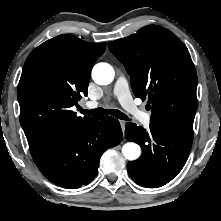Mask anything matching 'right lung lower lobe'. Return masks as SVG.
Returning a JSON list of instances; mask_svg holds the SVG:
<instances>
[{"instance_id":"98d812e1","label":"right lung lower lobe","mask_w":221,"mask_h":221,"mask_svg":"<svg viewBox=\"0 0 221 221\" xmlns=\"http://www.w3.org/2000/svg\"><path fill=\"white\" fill-rule=\"evenodd\" d=\"M123 138L120 123L110 116L91 119L56 138L33 160L41 173L54 184L78 188L98 173L99 159Z\"/></svg>"}]
</instances>
